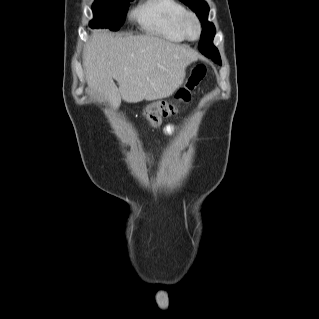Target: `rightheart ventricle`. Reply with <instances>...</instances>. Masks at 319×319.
<instances>
[{"mask_svg":"<svg viewBox=\"0 0 319 319\" xmlns=\"http://www.w3.org/2000/svg\"><path fill=\"white\" fill-rule=\"evenodd\" d=\"M187 12L178 0H148L133 13V17L149 34L162 39L182 42L186 38L179 29V22Z\"/></svg>","mask_w":319,"mask_h":319,"instance_id":"1","label":"right heart ventricle"}]
</instances>
